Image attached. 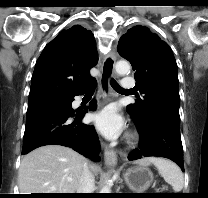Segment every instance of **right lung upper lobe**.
Masks as SVG:
<instances>
[{
	"label": "right lung upper lobe",
	"instance_id": "cb5924a9",
	"mask_svg": "<svg viewBox=\"0 0 208 198\" xmlns=\"http://www.w3.org/2000/svg\"><path fill=\"white\" fill-rule=\"evenodd\" d=\"M97 62L90 30L81 25L62 30L46 45L36 62L28 108L74 97L94 81L89 70Z\"/></svg>",
	"mask_w": 208,
	"mask_h": 198
}]
</instances>
